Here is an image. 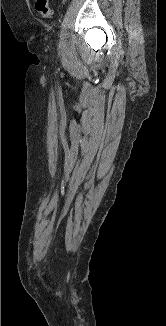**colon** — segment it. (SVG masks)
Instances as JSON below:
<instances>
[{
	"label": "colon",
	"instance_id": "5ec220e1",
	"mask_svg": "<svg viewBox=\"0 0 166 326\" xmlns=\"http://www.w3.org/2000/svg\"><path fill=\"white\" fill-rule=\"evenodd\" d=\"M35 8L43 19H49L52 16L49 0H36Z\"/></svg>",
	"mask_w": 166,
	"mask_h": 326
}]
</instances>
